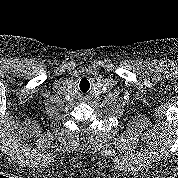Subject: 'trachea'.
<instances>
[{"label":"trachea","mask_w":178,"mask_h":178,"mask_svg":"<svg viewBox=\"0 0 178 178\" xmlns=\"http://www.w3.org/2000/svg\"><path fill=\"white\" fill-rule=\"evenodd\" d=\"M90 82L87 78H82L78 83L79 91L82 93H87L90 90Z\"/></svg>","instance_id":"1"}]
</instances>
